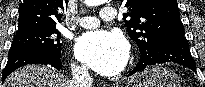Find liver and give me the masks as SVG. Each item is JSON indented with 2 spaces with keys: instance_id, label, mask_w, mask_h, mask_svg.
<instances>
[{
  "instance_id": "6515ba94",
  "label": "liver",
  "mask_w": 205,
  "mask_h": 87,
  "mask_svg": "<svg viewBox=\"0 0 205 87\" xmlns=\"http://www.w3.org/2000/svg\"><path fill=\"white\" fill-rule=\"evenodd\" d=\"M3 87H69V81L51 66L37 64L13 72Z\"/></svg>"
}]
</instances>
